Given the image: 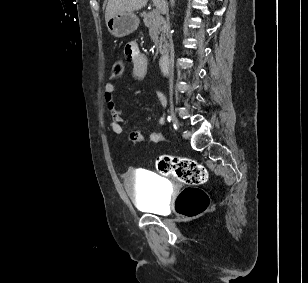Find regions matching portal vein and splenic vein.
I'll list each match as a JSON object with an SVG mask.
<instances>
[{"instance_id": "portal-vein-and-splenic-vein-1", "label": "portal vein and splenic vein", "mask_w": 308, "mask_h": 283, "mask_svg": "<svg viewBox=\"0 0 308 283\" xmlns=\"http://www.w3.org/2000/svg\"><path fill=\"white\" fill-rule=\"evenodd\" d=\"M161 10V6L160 5H156V10L155 11H159Z\"/></svg>"}]
</instances>
